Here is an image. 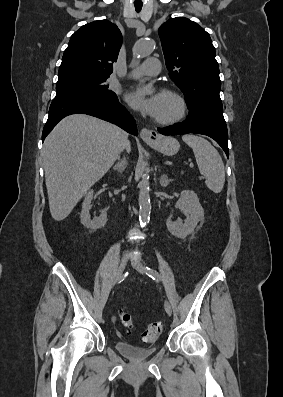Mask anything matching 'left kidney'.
Wrapping results in <instances>:
<instances>
[{"instance_id": "left-kidney-1", "label": "left kidney", "mask_w": 283, "mask_h": 397, "mask_svg": "<svg viewBox=\"0 0 283 397\" xmlns=\"http://www.w3.org/2000/svg\"><path fill=\"white\" fill-rule=\"evenodd\" d=\"M175 207L183 211L187 215V219L182 223L174 222L171 218H168L166 226L173 236L184 239L194 233L198 222L204 219V210L197 195L192 190H183Z\"/></svg>"}]
</instances>
